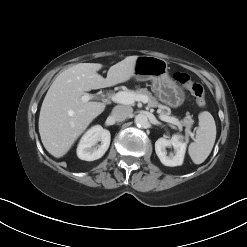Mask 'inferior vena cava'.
<instances>
[{
  "label": "inferior vena cava",
  "mask_w": 247,
  "mask_h": 247,
  "mask_svg": "<svg viewBox=\"0 0 247 247\" xmlns=\"http://www.w3.org/2000/svg\"><path fill=\"white\" fill-rule=\"evenodd\" d=\"M133 112V109L129 106H115L111 112L112 118L117 122L126 120Z\"/></svg>",
  "instance_id": "inferior-vena-cava-1"
}]
</instances>
